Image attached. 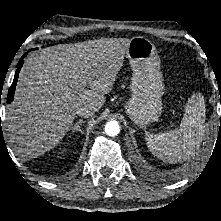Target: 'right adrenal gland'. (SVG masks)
<instances>
[{
    "label": "right adrenal gland",
    "instance_id": "right-adrenal-gland-1",
    "mask_svg": "<svg viewBox=\"0 0 221 221\" xmlns=\"http://www.w3.org/2000/svg\"><path fill=\"white\" fill-rule=\"evenodd\" d=\"M82 123H83V120H79V121H77L75 124H74V126L72 127V133H74V132H76V131H78V132H81L82 133V130H81V127H80V125H82Z\"/></svg>",
    "mask_w": 221,
    "mask_h": 221
}]
</instances>
